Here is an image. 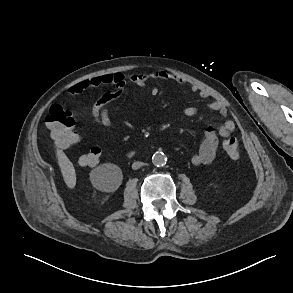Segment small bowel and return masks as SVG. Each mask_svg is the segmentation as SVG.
Returning <instances> with one entry per match:
<instances>
[{"instance_id":"1","label":"small bowel","mask_w":293,"mask_h":293,"mask_svg":"<svg viewBox=\"0 0 293 293\" xmlns=\"http://www.w3.org/2000/svg\"><path fill=\"white\" fill-rule=\"evenodd\" d=\"M149 79L170 80L176 82L179 85L186 84V81L183 78L166 71H157L149 74H137L131 76L129 80L138 87H145ZM126 83L127 81L121 73L104 74L100 76L90 77L88 79L78 82L68 89V94L76 95L88 88H98L106 86L113 87L112 90H108L103 93L91 107V115L95 122L103 127H109L112 124L110 105L120 97L126 87ZM191 91L203 99H208L211 96V94L207 90L201 88L196 84H193L191 86ZM151 94L157 95L158 89L156 87H153L151 89ZM202 109L218 112L222 116H226L227 114L226 108L223 103H221L220 101H211L202 106L192 105L186 107L184 110V115L186 117H193ZM235 128L236 125L234 121L228 119L215 129H207L203 134V139L198 152L195 153L191 158L192 164H211L216 156L219 144L218 137H226L231 135L235 131Z\"/></svg>"}]
</instances>
